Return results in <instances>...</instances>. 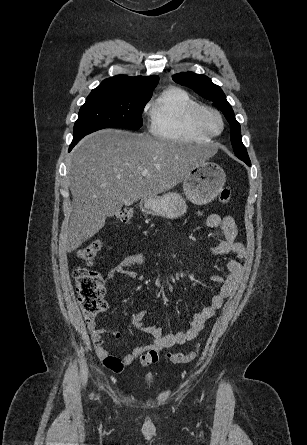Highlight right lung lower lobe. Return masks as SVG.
Listing matches in <instances>:
<instances>
[{
    "label": "right lung lower lobe",
    "instance_id": "98d812e1",
    "mask_svg": "<svg viewBox=\"0 0 307 445\" xmlns=\"http://www.w3.org/2000/svg\"><path fill=\"white\" fill-rule=\"evenodd\" d=\"M83 137H78V138H73V141L70 145L69 151H71V149L79 142L80 139H82Z\"/></svg>",
    "mask_w": 307,
    "mask_h": 445
}]
</instances>
